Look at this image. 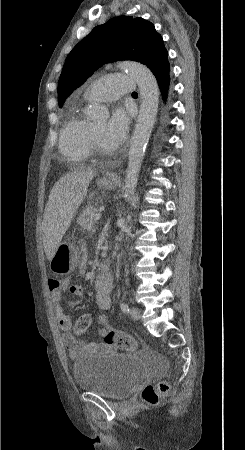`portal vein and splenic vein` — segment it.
Here are the masks:
<instances>
[{"label": "portal vein and splenic vein", "instance_id": "1", "mask_svg": "<svg viewBox=\"0 0 245 450\" xmlns=\"http://www.w3.org/2000/svg\"><path fill=\"white\" fill-rule=\"evenodd\" d=\"M100 218H101V214L100 213H96L95 217H94V220L98 221V220H100Z\"/></svg>", "mask_w": 245, "mask_h": 450}]
</instances>
